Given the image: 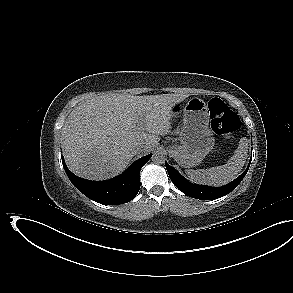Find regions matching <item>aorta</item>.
Masks as SVG:
<instances>
[{"label":"aorta","instance_id":"aorta-1","mask_svg":"<svg viewBox=\"0 0 293 293\" xmlns=\"http://www.w3.org/2000/svg\"><path fill=\"white\" fill-rule=\"evenodd\" d=\"M151 159L154 163L161 164V163H164V161H165V155L162 151L157 150L153 153Z\"/></svg>","mask_w":293,"mask_h":293}]
</instances>
